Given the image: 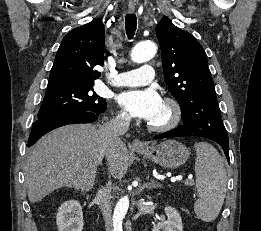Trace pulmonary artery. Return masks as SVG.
<instances>
[{
  "instance_id": "pulmonary-artery-1",
  "label": "pulmonary artery",
  "mask_w": 261,
  "mask_h": 231,
  "mask_svg": "<svg viewBox=\"0 0 261 231\" xmlns=\"http://www.w3.org/2000/svg\"><path fill=\"white\" fill-rule=\"evenodd\" d=\"M154 74V68L150 65H145L131 71L120 73L114 80V84L123 87L144 85L154 79Z\"/></svg>"
}]
</instances>
